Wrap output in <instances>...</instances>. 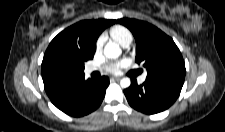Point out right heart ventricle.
Wrapping results in <instances>:
<instances>
[{
	"label": "right heart ventricle",
	"mask_w": 225,
	"mask_h": 132,
	"mask_svg": "<svg viewBox=\"0 0 225 132\" xmlns=\"http://www.w3.org/2000/svg\"><path fill=\"white\" fill-rule=\"evenodd\" d=\"M109 35L114 41L122 46L130 44L133 39L131 31L122 25H115L111 27L109 30Z\"/></svg>",
	"instance_id": "obj_1"
}]
</instances>
